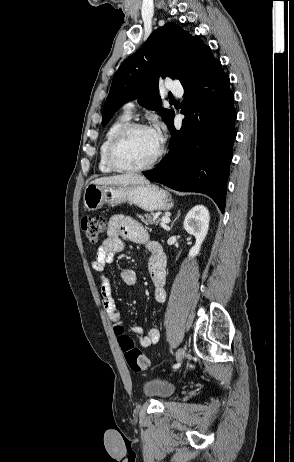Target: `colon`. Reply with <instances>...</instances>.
<instances>
[{"label":"colon","instance_id":"colon-1","mask_svg":"<svg viewBox=\"0 0 294 462\" xmlns=\"http://www.w3.org/2000/svg\"><path fill=\"white\" fill-rule=\"evenodd\" d=\"M81 228L89 244H97L106 229V221L99 216H86L81 220ZM118 343L124 352L128 366L135 372H141L149 367L147 357L134 345L130 336L125 334L124 327L115 326Z\"/></svg>","mask_w":294,"mask_h":462}]
</instances>
